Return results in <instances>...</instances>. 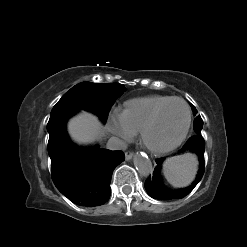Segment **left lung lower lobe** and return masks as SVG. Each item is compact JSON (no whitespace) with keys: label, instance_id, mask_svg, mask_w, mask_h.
<instances>
[{"label":"left lung lower lobe","instance_id":"1","mask_svg":"<svg viewBox=\"0 0 247 247\" xmlns=\"http://www.w3.org/2000/svg\"><path fill=\"white\" fill-rule=\"evenodd\" d=\"M184 151L193 152L199 159L200 167L196 180L187 188L177 190L168 189L163 185L160 178V168L165 158L157 159V166L154 169L153 175H150L145 182L146 191L152 198L159 200L180 199L188 195L199 183L204 173L205 142L203 137L200 135L190 137L179 152Z\"/></svg>","mask_w":247,"mask_h":247}]
</instances>
